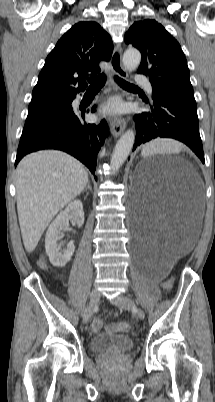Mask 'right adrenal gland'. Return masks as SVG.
<instances>
[{
    "label": "right adrenal gland",
    "instance_id": "obj_1",
    "mask_svg": "<svg viewBox=\"0 0 215 402\" xmlns=\"http://www.w3.org/2000/svg\"><path fill=\"white\" fill-rule=\"evenodd\" d=\"M87 190H89V191H91L92 190V188H91V186H90V182L88 181L87 182V186L85 187V189L82 191V193H84L85 191H87Z\"/></svg>",
    "mask_w": 215,
    "mask_h": 402
}]
</instances>
